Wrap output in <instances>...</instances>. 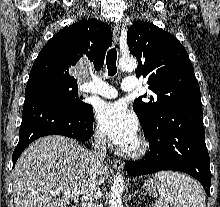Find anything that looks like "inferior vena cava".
Wrapping results in <instances>:
<instances>
[{
	"instance_id": "602c4592",
	"label": "inferior vena cava",
	"mask_w": 220,
	"mask_h": 207,
	"mask_svg": "<svg viewBox=\"0 0 220 207\" xmlns=\"http://www.w3.org/2000/svg\"><path fill=\"white\" fill-rule=\"evenodd\" d=\"M106 158V138L101 133L94 136V151L89 153L91 177L87 180L82 191V207H98V200L101 196L98 173L104 166Z\"/></svg>"
}]
</instances>
